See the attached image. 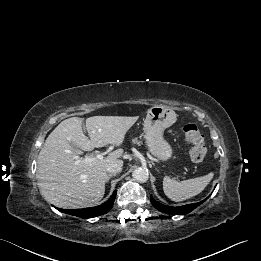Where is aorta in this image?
Instances as JSON below:
<instances>
[{
	"instance_id": "aorta-1",
	"label": "aorta",
	"mask_w": 261,
	"mask_h": 261,
	"mask_svg": "<svg viewBox=\"0 0 261 261\" xmlns=\"http://www.w3.org/2000/svg\"><path fill=\"white\" fill-rule=\"evenodd\" d=\"M133 177L136 181L144 183L149 179L148 171L144 168H138L133 172Z\"/></svg>"
}]
</instances>
